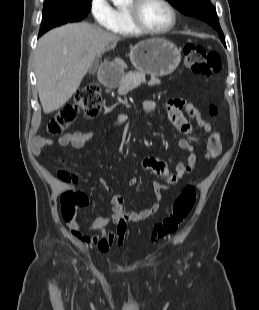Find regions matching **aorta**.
I'll use <instances>...</instances> for the list:
<instances>
[{
  "label": "aorta",
  "mask_w": 259,
  "mask_h": 310,
  "mask_svg": "<svg viewBox=\"0 0 259 310\" xmlns=\"http://www.w3.org/2000/svg\"><path fill=\"white\" fill-rule=\"evenodd\" d=\"M111 1L114 3V5L119 6L125 3L126 0H111Z\"/></svg>",
  "instance_id": "obj_1"
}]
</instances>
